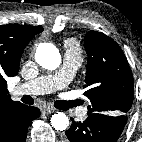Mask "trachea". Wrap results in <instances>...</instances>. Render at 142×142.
I'll return each mask as SVG.
<instances>
[{
    "instance_id": "obj_1",
    "label": "trachea",
    "mask_w": 142,
    "mask_h": 142,
    "mask_svg": "<svg viewBox=\"0 0 142 142\" xmlns=\"http://www.w3.org/2000/svg\"><path fill=\"white\" fill-rule=\"evenodd\" d=\"M25 103L27 104H33L32 100H25ZM80 102L78 100H73V101H56L55 102V107L61 110H68L69 108L78 106Z\"/></svg>"
}]
</instances>
